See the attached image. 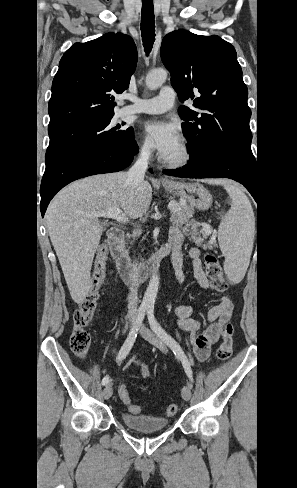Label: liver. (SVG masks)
<instances>
[{"label":"liver","instance_id":"obj_1","mask_svg":"<svg viewBox=\"0 0 297 488\" xmlns=\"http://www.w3.org/2000/svg\"><path fill=\"white\" fill-rule=\"evenodd\" d=\"M148 181L132 185L127 172L94 175L71 183L51 201L45 214L49 236L74 302L84 301L92 287L90 271L102 235L92 213L121 208L131 219L150 207Z\"/></svg>","mask_w":297,"mask_h":488}]
</instances>
